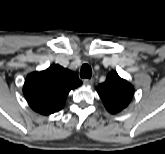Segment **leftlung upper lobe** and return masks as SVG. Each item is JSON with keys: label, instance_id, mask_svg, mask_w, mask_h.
Returning <instances> with one entry per match:
<instances>
[{"label": "left lung upper lobe", "instance_id": "5c2ea615", "mask_svg": "<svg viewBox=\"0 0 165 154\" xmlns=\"http://www.w3.org/2000/svg\"><path fill=\"white\" fill-rule=\"evenodd\" d=\"M97 91L106 109L115 114L128 106L134 88L128 81L120 78L116 71H112L105 82L98 85Z\"/></svg>", "mask_w": 165, "mask_h": 154}]
</instances>
